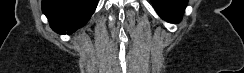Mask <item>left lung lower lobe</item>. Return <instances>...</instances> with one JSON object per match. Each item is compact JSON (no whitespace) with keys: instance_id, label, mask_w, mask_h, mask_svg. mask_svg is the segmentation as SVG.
Wrapping results in <instances>:
<instances>
[{"instance_id":"1","label":"left lung lower lobe","mask_w":244,"mask_h":73,"mask_svg":"<svg viewBox=\"0 0 244 73\" xmlns=\"http://www.w3.org/2000/svg\"><path fill=\"white\" fill-rule=\"evenodd\" d=\"M155 10L165 21L178 23L187 5V0H151Z\"/></svg>"}]
</instances>
